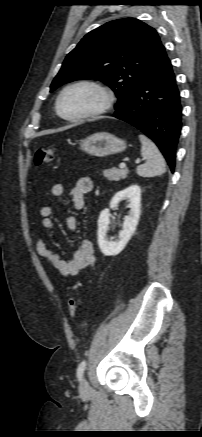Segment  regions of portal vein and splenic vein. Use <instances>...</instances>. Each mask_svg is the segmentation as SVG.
I'll return each instance as SVG.
<instances>
[{"instance_id": "obj_1", "label": "portal vein and splenic vein", "mask_w": 202, "mask_h": 437, "mask_svg": "<svg viewBox=\"0 0 202 437\" xmlns=\"http://www.w3.org/2000/svg\"><path fill=\"white\" fill-rule=\"evenodd\" d=\"M136 163H140V160H137ZM119 167L121 169H124V168H126V164L125 163H120Z\"/></svg>"}]
</instances>
